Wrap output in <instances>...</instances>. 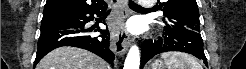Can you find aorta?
<instances>
[{"mask_svg":"<svg viewBox=\"0 0 246 69\" xmlns=\"http://www.w3.org/2000/svg\"><path fill=\"white\" fill-rule=\"evenodd\" d=\"M140 66V52L136 45H133L126 57L124 69H139Z\"/></svg>","mask_w":246,"mask_h":69,"instance_id":"aorta-1","label":"aorta"}]
</instances>
